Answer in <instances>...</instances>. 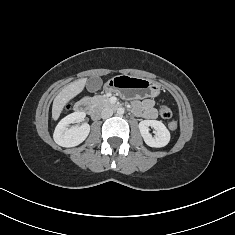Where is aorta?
<instances>
[{
  "instance_id": "1",
  "label": "aorta",
  "mask_w": 235,
  "mask_h": 235,
  "mask_svg": "<svg viewBox=\"0 0 235 235\" xmlns=\"http://www.w3.org/2000/svg\"><path fill=\"white\" fill-rule=\"evenodd\" d=\"M117 114L118 115H123L124 114V108L120 107L117 109Z\"/></svg>"
}]
</instances>
